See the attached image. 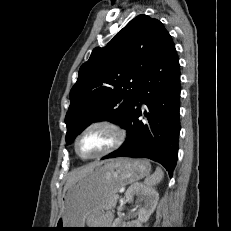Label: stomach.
<instances>
[{
  "mask_svg": "<svg viewBox=\"0 0 231 231\" xmlns=\"http://www.w3.org/2000/svg\"><path fill=\"white\" fill-rule=\"evenodd\" d=\"M150 170V163L146 159L116 158L103 162L66 190L56 230L85 228L93 212L107 209L110 199L122 187L148 176Z\"/></svg>",
  "mask_w": 231,
  "mask_h": 231,
  "instance_id": "obj_1",
  "label": "stomach"
}]
</instances>
